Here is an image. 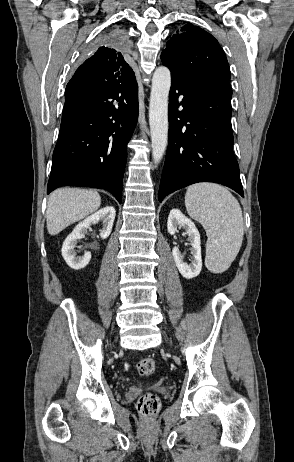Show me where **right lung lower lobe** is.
<instances>
[{
  "label": "right lung lower lobe",
  "mask_w": 294,
  "mask_h": 462,
  "mask_svg": "<svg viewBox=\"0 0 294 462\" xmlns=\"http://www.w3.org/2000/svg\"><path fill=\"white\" fill-rule=\"evenodd\" d=\"M135 76L92 94L65 93L47 194L61 186L105 189L121 203L127 144L138 117Z\"/></svg>",
  "instance_id": "obj_1"
}]
</instances>
